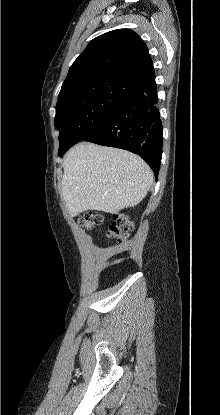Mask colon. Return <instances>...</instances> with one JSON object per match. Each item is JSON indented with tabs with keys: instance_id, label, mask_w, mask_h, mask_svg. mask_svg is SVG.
I'll return each instance as SVG.
<instances>
[{
	"instance_id": "5ec220e1",
	"label": "colon",
	"mask_w": 220,
	"mask_h": 415,
	"mask_svg": "<svg viewBox=\"0 0 220 415\" xmlns=\"http://www.w3.org/2000/svg\"><path fill=\"white\" fill-rule=\"evenodd\" d=\"M103 222L102 215L98 213L89 212L79 220V224L85 230H92L101 225ZM133 228V222L129 217L123 213L115 214L114 221L109 227L108 234L111 237L118 239L124 238L128 232Z\"/></svg>"
}]
</instances>
